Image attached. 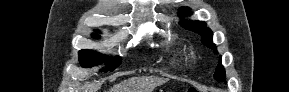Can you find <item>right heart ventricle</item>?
<instances>
[{"label":"right heart ventricle","mask_w":289,"mask_h":92,"mask_svg":"<svg viewBox=\"0 0 289 92\" xmlns=\"http://www.w3.org/2000/svg\"><path fill=\"white\" fill-rule=\"evenodd\" d=\"M174 54L176 55L177 59H181L184 56V51L180 47L173 48Z\"/></svg>","instance_id":"1"}]
</instances>
